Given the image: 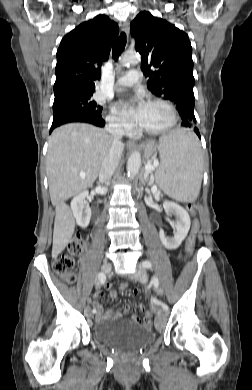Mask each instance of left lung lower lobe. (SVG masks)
<instances>
[{"instance_id":"obj_1","label":"left lung lower lobe","mask_w":252,"mask_h":390,"mask_svg":"<svg viewBox=\"0 0 252 390\" xmlns=\"http://www.w3.org/2000/svg\"><path fill=\"white\" fill-rule=\"evenodd\" d=\"M180 116L182 118L181 125L184 127L192 128L195 131V133L200 137L199 130L196 127V119H195L194 114H192L189 111L188 112L183 111Z\"/></svg>"}]
</instances>
